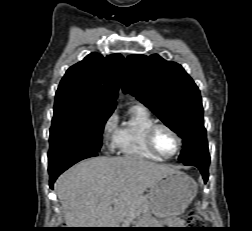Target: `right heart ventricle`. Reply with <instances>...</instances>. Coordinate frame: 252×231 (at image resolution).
Masks as SVG:
<instances>
[{
	"label": "right heart ventricle",
	"instance_id": "obj_1",
	"mask_svg": "<svg viewBox=\"0 0 252 231\" xmlns=\"http://www.w3.org/2000/svg\"><path fill=\"white\" fill-rule=\"evenodd\" d=\"M156 121L143 106L131 109L129 118L118 128L114 138V147L122 155L142 160L160 161L146 145L147 130Z\"/></svg>",
	"mask_w": 252,
	"mask_h": 231
}]
</instances>
